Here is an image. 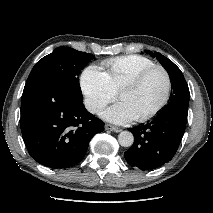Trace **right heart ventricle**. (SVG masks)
<instances>
[{"label": "right heart ventricle", "mask_w": 213, "mask_h": 213, "mask_svg": "<svg viewBox=\"0 0 213 213\" xmlns=\"http://www.w3.org/2000/svg\"><path fill=\"white\" fill-rule=\"evenodd\" d=\"M112 89L120 87L140 71L155 66V63L141 55H126L105 60L102 63Z\"/></svg>", "instance_id": "obj_1"}]
</instances>
